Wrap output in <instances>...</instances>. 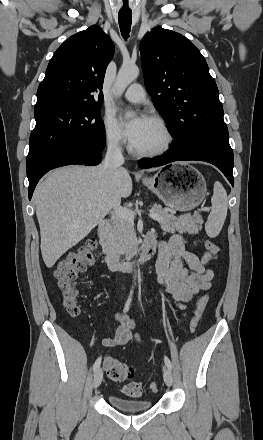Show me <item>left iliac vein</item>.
Returning a JSON list of instances; mask_svg holds the SVG:
<instances>
[{
  "label": "left iliac vein",
  "instance_id": "obj_1",
  "mask_svg": "<svg viewBox=\"0 0 263 440\" xmlns=\"http://www.w3.org/2000/svg\"><path fill=\"white\" fill-rule=\"evenodd\" d=\"M163 378L167 386H171L173 382L172 372L168 367L163 369Z\"/></svg>",
  "mask_w": 263,
  "mask_h": 440
}]
</instances>
